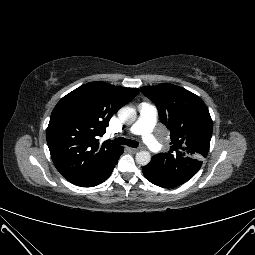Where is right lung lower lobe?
Listing matches in <instances>:
<instances>
[{"mask_svg": "<svg viewBox=\"0 0 255 255\" xmlns=\"http://www.w3.org/2000/svg\"><path fill=\"white\" fill-rule=\"evenodd\" d=\"M122 153H123V148L121 147L118 157L115 159V161L108 168H106L104 171H102L99 175H97L93 179L83 182L81 184H78V186L93 187V186H96V185L102 183L103 181H105L111 175V173H112L115 165L117 164L118 159Z\"/></svg>", "mask_w": 255, "mask_h": 255, "instance_id": "obj_1", "label": "right lung lower lobe"}]
</instances>
